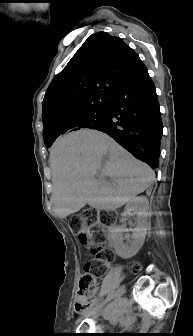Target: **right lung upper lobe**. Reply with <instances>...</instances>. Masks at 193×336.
<instances>
[{"mask_svg": "<svg viewBox=\"0 0 193 336\" xmlns=\"http://www.w3.org/2000/svg\"><path fill=\"white\" fill-rule=\"evenodd\" d=\"M121 38L91 35L49 85L43 100L44 140L72 132L75 120L104 109L141 63Z\"/></svg>", "mask_w": 193, "mask_h": 336, "instance_id": "right-lung-upper-lobe-1", "label": "right lung upper lobe"}]
</instances>
